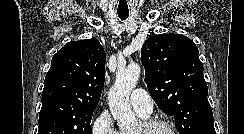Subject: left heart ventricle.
<instances>
[{
    "instance_id": "1",
    "label": "left heart ventricle",
    "mask_w": 244,
    "mask_h": 134,
    "mask_svg": "<svg viewBox=\"0 0 244 134\" xmlns=\"http://www.w3.org/2000/svg\"><path fill=\"white\" fill-rule=\"evenodd\" d=\"M150 134H171V132L164 126H158L154 128Z\"/></svg>"
}]
</instances>
